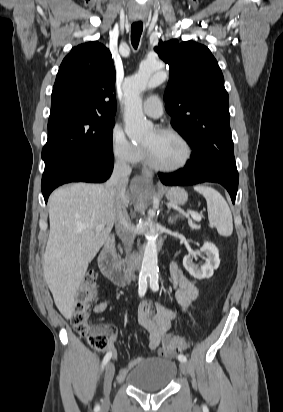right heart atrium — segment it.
<instances>
[{
  "instance_id": "obj_1",
  "label": "right heart atrium",
  "mask_w": 283,
  "mask_h": 412,
  "mask_svg": "<svg viewBox=\"0 0 283 412\" xmlns=\"http://www.w3.org/2000/svg\"><path fill=\"white\" fill-rule=\"evenodd\" d=\"M109 143L111 153L116 160L124 164H134L139 161L142 148L127 138L120 125L112 128Z\"/></svg>"
}]
</instances>
